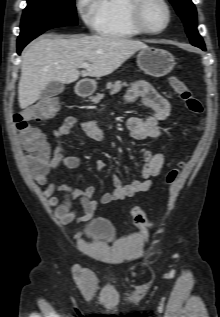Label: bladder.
Instances as JSON below:
<instances>
[{"label": "bladder", "instance_id": "1", "mask_svg": "<svg viewBox=\"0 0 220 317\" xmlns=\"http://www.w3.org/2000/svg\"><path fill=\"white\" fill-rule=\"evenodd\" d=\"M84 239L89 241L108 240L115 235V228L108 220L98 217L91 220L81 231Z\"/></svg>", "mask_w": 220, "mask_h": 317}]
</instances>
